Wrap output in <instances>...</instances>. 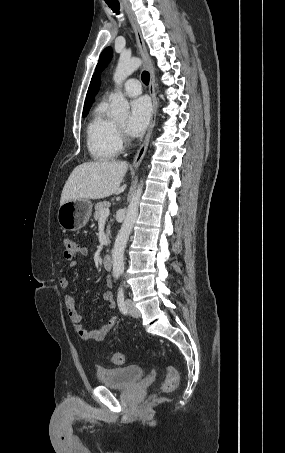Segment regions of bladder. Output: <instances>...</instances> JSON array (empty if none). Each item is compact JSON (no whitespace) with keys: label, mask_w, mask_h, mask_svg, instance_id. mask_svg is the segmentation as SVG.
Returning a JSON list of instances; mask_svg holds the SVG:
<instances>
[{"label":"bladder","mask_w":285,"mask_h":453,"mask_svg":"<svg viewBox=\"0 0 285 453\" xmlns=\"http://www.w3.org/2000/svg\"><path fill=\"white\" fill-rule=\"evenodd\" d=\"M96 378L104 386L112 388H128L143 378L145 370L139 365L119 368H96Z\"/></svg>","instance_id":"31cf9c89"}]
</instances>
